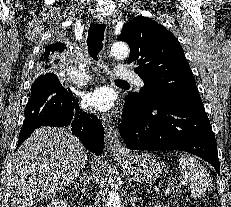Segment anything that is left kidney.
<instances>
[{"instance_id":"obj_1","label":"left kidney","mask_w":231,"mask_h":207,"mask_svg":"<svg viewBox=\"0 0 231 207\" xmlns=\"http://www.w3.org/2000/svg\"><path fill=\"white\" fill-rule=\"evenodd\" d=\"M157 207H165V206H157Z\"/></svg>"}]
</instances>
